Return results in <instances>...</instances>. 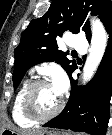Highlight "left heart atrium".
<instances>
[{
  "instance_id": "1",
  "label": "left heart atrium",
  "mask_w": 112,
  "mask_h": 135,
  "mask_svg": "<svg viewBox=\"0 0 112 135\" xmlns=\"http://www.w3.org/2000/svg\"><path fill=\"white\" fill-rule=\"evenodd\" d=\"M52 86L59 95H62L67 87V80L63 73H57L54 75Z\"/></svg>"
}]
</instances>
